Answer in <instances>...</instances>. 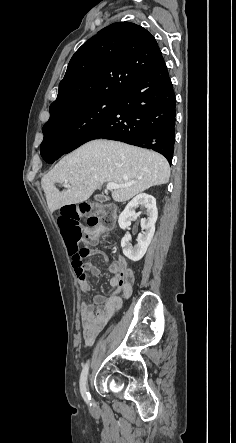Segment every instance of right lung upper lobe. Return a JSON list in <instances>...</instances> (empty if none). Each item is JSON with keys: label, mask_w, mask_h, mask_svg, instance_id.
<instances>
[{"label": "right lung upper lobe", "mask_w": 236, "mask_h": 443, "mask_svg": "<svg viewBox=\"0 0 236 443\" xmlns=\"http://www.w3.org/2000/svg\"><path fill=\"white\" fill-rule=\"evenodd\" d=\"M160 57L155 38L143 27L130 22L105 27L71 58L50 116L98 95L120 96Z\"/></svg>", "instance_id": "right-lung-upper-lobe-1"}]
</instances>
